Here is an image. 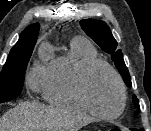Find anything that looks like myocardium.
Returning <instances> with one entry per match:
<instances>
[{"instance_id": "obj_1", "label": "myocardium", "mask_w": 151, "mask_h": 131, "mask_svg": "<svg viewBox=\"0 0 151 131\" xmlns=\"http://www.w3.org/2000/svg\"><path fill=\"white\" fill-rule=\"evenodd\" d=\"M98 68L107 69L113 75L119 88L120 106L118 110L113 114H104L97 111L92 106L87 95V91H86L87 80L89 76L91 75V73ZM72 91L76 100L81 105V107H83L87 112H89L90 114H92L93 116L99 119L114 120L120 117L125 111L126 104H127V91H126L125 84L120 74L116 71V69L104 60L95 59L87 63L83 67V69L80 71V73L77 75V77L74 79L73 85H72Z\"/></svg>"}]
</instances>
